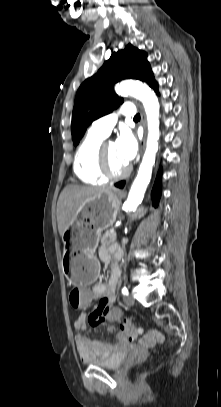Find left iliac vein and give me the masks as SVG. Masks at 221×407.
Instances as JSON below:
<instances>
[{
	"instance_id": "left-iliac-vein-1",
	"label": "left iliac vein",
	"mask_w": 221,
	"mask_h": 407,
	"mask_svg": "<svg viewBox=\"0 0 221 407\" xmlns=\"http://www.w3.org/2000/svg\"><path fill=\"white\" fill-rule=\"evenodd\" d=\"M134 299H133V297L131 296V295H128V296H126L125 298H124V303H125V305H127V306H132V305H134Z\"/></svg>"
}]
</instances>
